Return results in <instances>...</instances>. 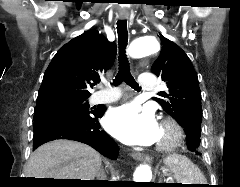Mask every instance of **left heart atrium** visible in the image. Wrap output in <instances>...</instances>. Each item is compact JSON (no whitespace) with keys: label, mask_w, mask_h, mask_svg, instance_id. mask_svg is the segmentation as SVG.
<instances>
[{"label":"left heart atrium","mask_w":240,"mask_h":187,"mask_svg":"<svg viewBox=\"0 0 240 187\" xmlns=\"http://www.w3.org/2000/svg\"><path fill=\"white\" fill-rule=\"evenodd\" d=\"M104 125L112 136L127 145H152L158 141L161 131L151 111H140L131 105L110 110Z\"/></svg>","instance_id":"1"}]
</instances>
